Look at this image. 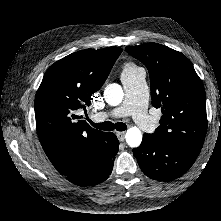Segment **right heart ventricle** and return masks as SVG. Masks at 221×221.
Returning <instances> with one entry per match:
<instances>
[{
    "instance_id": "right-heart-ventricle-1",
    "label": "right heart ventricle",
    "mask_w": 221,
    "mask_h": 221,
    "mask_svg": "<svg viewBox=\"0 0 221 221\" xmlns=\"http://www.w3.org/2000/svg\"><path fill=\"white\" fill-rule=\"evenodd\" d=\"M138 69H139V68H138L136 65H134L133 63H127V64L124 66L121 75L131 74V73L135 72V71L138 70Z\"/></svg>"
}]
</instances>
